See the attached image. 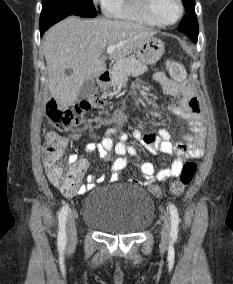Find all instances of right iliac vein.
<instances>
[{"label": "right iliac vein", "mask_w": 233, "mask_h": 284, "mask_svg": "<svg viewBox=\"0 0 233 284\" xmlns=\"http://www.w3.org/2000/svg\"><path fill=\"white\" fill-rule=\"evenodd\" d=\"M76 214L71 211L66 220V240L68 248H73L76 244L77 230L75 224Z\"/></svg>", "instance_id": "obj_1"}]
</instances>
